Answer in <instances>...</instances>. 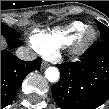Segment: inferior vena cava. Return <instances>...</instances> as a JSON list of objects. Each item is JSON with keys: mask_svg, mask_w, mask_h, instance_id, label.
Segmentation results:
<instances>
[{"mask_svg": "<svg viewBox=\"0 0 109 109\" xmlns=\"http://www.w3.org/2000/svg\"><path fill=\"white\" fill-rule=\"evenodd\" d=\"M16 56L24 61H32L37 58L36 53L31 50L29 47L21 46L16 51Z\"/></svg>", "mask_w": 109, "mask_h": 109, "instance_id": "1", "label": "inferior vena cava"}]
</instances>
